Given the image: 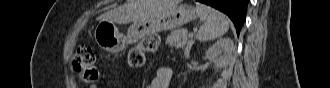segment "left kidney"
<instances>
[{
	"label": "left kidney",
	"instance_id": "5707ae66",
	"mask_svg": "<svg viewBox=\"0 0 330 88\" xmlns=\"http://www.w3.org/2000/svg\"><path fill=\"white\" fill-rule=\"evenodd\" d=\"M234 51L233 41L230 38H222L207 50L205 59L213 62L218 70L230 64Z\"/></svg>",
	"mask_w": 330,
	"mask_h": 88
}]
</instances>
